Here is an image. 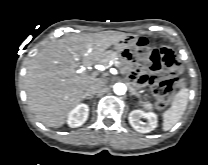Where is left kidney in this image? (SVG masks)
I'll use <instances>...</instances> for the list:
<instances>
[{
	"instance_id": "1",
	"label": "left kidney",
	"mask_w": 208,
	"mask_h": 165,
	"mask_svg": "<svg viewBox=\"0 0 208 165\" xmlns=\"http://www.w3.org/2000/svg\"><path fill=\"white\" fill-rule=\"evenodd\" d=\"M141 118L147 119V122L141 121ZM128 120L130 125L140 133H149L158 125V119L155 113L144 112L142 110L131 111Z\"/></svg>"
}]
</instances>
